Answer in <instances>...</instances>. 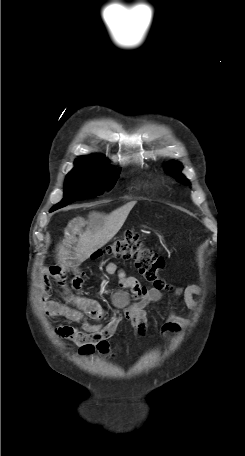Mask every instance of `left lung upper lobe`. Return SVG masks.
<instances>
[{"instance_id": "5c2ea615", "label": "left lung upper lobe", "mask_w": 245, "mask_h": 456, "mask_svg": "<svg viewBox=\"0 0 245 456\" xmlns=\"http://www.w3.org/2000/svg\"><path fill=\"white\" fill-rule=\"evenodd\" d=\"M182 169V166L180 163H170L166 168L165 172L168 175H171L174 177L178 182L184 184V185H189L188 181L186 178L180 174V170Z\"/></svg>"}]
</instances>
